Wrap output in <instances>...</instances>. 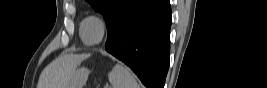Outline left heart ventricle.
Masks as SVG:
<instances>
[{"mask_svg": "<svg viewBox=\"0 0 267 88\" xmlns=\"http://www.w3.org/2000/svg\"><path fill=\"white\" fill-rule=\"evenodd\" d=\"M100 34H101V29L96 21L90 20L86 23L85 36L89 42L96 41L100 37Z\"/></svg>", "mask_w": 267, "mask_h": 88, "instance_id": "obj_1", "label": "left heart ventricle"}]
</instances>
